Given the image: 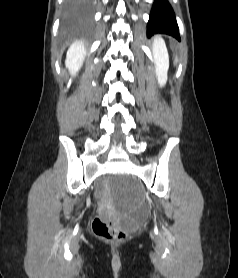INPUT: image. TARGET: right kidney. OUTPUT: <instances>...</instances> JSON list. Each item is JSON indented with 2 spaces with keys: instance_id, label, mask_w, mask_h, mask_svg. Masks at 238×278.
Masks as SVG:
<instances>
[{
  "instance_id": "1",
  "label": "right kidney",
  "mask_w": 238,
  "mask_h": 278,
  "mask_svg": "<svg viewBox=\"0 0 238 278\" xmlns=\"http://www.w3.org/2000/svg\"><path fill=\"white\" fill-rule=\"evenodd\" d=\"M85 56L86 49L82 41H76L70 46L66 56V67L70 73L74 74L80 69Z\"/></svg>"
}]
</instances>
